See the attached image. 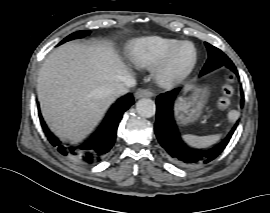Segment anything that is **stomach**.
Returning <instances> with one entry per match:
<instances>
[{
    "label": "stomach",
    "mask_w": 270,
    "mask_h": 213,
    "mask_svg": "<svg viewBox=\"0 0 270 213\" xmlns=\"http://www.w3.org/2000/svg\"><path fill=\"white\" fill-rule=\"evenodd\" d=\"M206 95L205 89L195 87L188 96L178 98L174 108L177 121L184 125L194 122L201 114Z\"/></svg>",
    "instance_id": "0dacf381"
}]
</instances>
